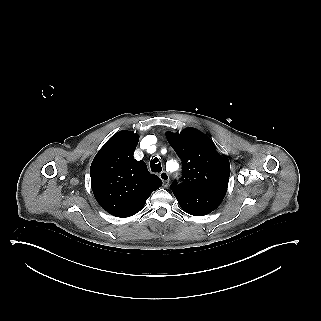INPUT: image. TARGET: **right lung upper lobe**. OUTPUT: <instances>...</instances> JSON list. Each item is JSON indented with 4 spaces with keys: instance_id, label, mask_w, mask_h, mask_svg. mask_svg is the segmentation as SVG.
<instances>
[{
    "instance_id": "obj_1",
    "label": "right lung upper lobe",
    "mask_w": 321,
    "mask_h": 321,
    "mask_svg": "<svg viewBox=\"0 0 321 321\" xmlns=\"http://www.w3.org/2000/svg\"><path fill=\"white\" fill-rule=\"evenodd\" d=\"M139 136L120 131L95 156L91 167V186L101 207L116 217L139 212L162 181L150 174L146 164L134 159Z\"/></svg>"
}]
</instances>
